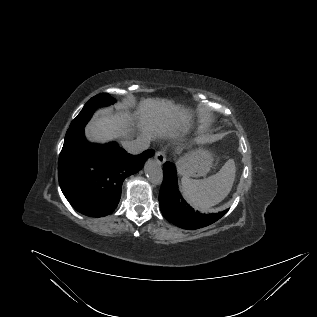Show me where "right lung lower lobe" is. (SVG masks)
Here are the masks:
<instances>
[{"instance_id": "right-lung-lower-lobe-1", "label": "right lung lower lobe", "mask_w": 317, "mask_h": 317, "mask_svg": "<svg viewBox=\"0 0 317 317\" xmlns=\"http://www.w3.org/2000/svg\"><path fill=\"white\" fill-rule=\"evenodd\" d=\"M154 154L147 150L138 156L128 154L116 143H89L84 128L64 142L58 161L61 190L80 213L102 217L117 207L124 179L141 169Z\"/></svg>"}]
</instances>
